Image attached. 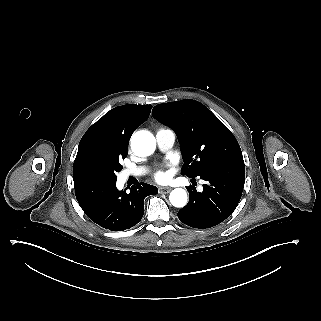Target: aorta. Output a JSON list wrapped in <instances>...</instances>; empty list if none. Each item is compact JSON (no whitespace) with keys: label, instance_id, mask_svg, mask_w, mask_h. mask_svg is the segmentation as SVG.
Wrapping results in <instances>:
<instances>
[{"label":"aorta","instance_id":"762f6f07","mask_svg":"<svg viewBox=\"0 0 321 321\" xmlns=\"http://www.w3.org/2000/svg\"><path fill=\"white\" fill-rule=\"evenodd\" d=\"M156 148V140L153 134L148 131H137L131 139V149L138 156H149ZM187 193L182 188H176L169 195L170 203L182 208L187 203Z\"/></svg>","mask_w":321,"mask_h":321}]
</instances>
